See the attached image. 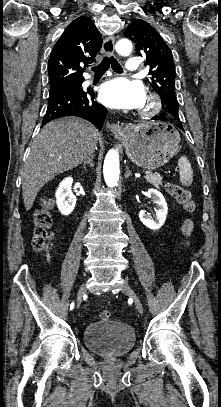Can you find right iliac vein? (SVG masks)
I'll use <instances>...</instances> for the list:
<instances>
[{
  "instance_id": "obj_1",
  "label": "right iliac vein",
  "mask_w": 221,
  "mask_h": 407,
  "mask_svg": "<svg viewBox=\"0 0 221 407\" xmlns=\"http://www.w3.org/2000/svg\"><path fill=\"white\" fill-rule=\"evenodd\" d=\"M85 292H86L85 285L82 284V285L79 287V290H78V293H77V306H78V307H80L81 304H82V300H83V296H84Z\"/></svg>"
}]
</instances>
